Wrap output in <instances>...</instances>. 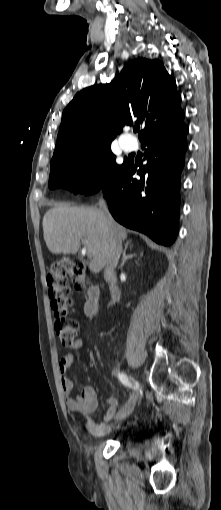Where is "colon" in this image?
I'll return each mask as SVG.
<instances>
[{
	"instance_id": "obj_1",
	"label": "colon",
	"mask_w": 221,
	"mask_h": 510,
	"mask_svg": "<svg viewBox=\"0 0 221 510\" xmlns=\"http://www.w3.org/2000/svg\"><path fill=\"white\" fill-rule=\"evenodd\" d=\"M68 280L75 283L78 291L86 288L88 281L83 264L69 257L51 261L48 265L47 286L50 305L55 321L54 329L61 343L70 347L79 334V323L72 316V299Z\"/></svg>"
}]
</instances>
